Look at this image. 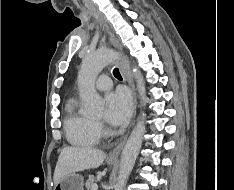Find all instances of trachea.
I'll return each instance as SVG.
<instances>
[{"mask_svg": "<svg viewBox=\"0 0 234 190\" xmlns=\"http://www.w3.org/2000/svg\"><path fill=\"white\" fill-rule=\"evenodd\" d=\"M113 75H114L117 79H119V80L122 79V76H121V74H120L118 68H115V69L113 70Z\"/></svg>", "mask_w": 234, "mask_h": 190, "instance_id": "3493384b", "label": "trachea"}]
</instances>
